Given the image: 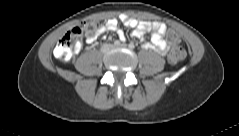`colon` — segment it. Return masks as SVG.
<instances>
[{
    "label": "colon",
    "instance_id": "5ec220e1",
    "mask_svg": "<svg viewBox=\"0 0 239 136\" xmlns=\"http://www.w3.org/2000/svg\"><path fill=\"white\" fill-rule=\"evenodd\" d=\"M100 32V24L98 21H85L82 25L68 31L58 42L55 47L54 54L62 60H68L71 55L77 50L81 36L84 34L87 38H95ZM167 39L173 44L172 50L169 54V62L177 64L184 60L185 49L179 45L180 37L173 31L168 30L166 33Z\"/></svg>",
    "mask_w": 239,
    "mask_h": 136
}]
</instances>
